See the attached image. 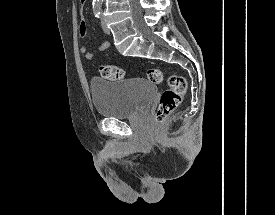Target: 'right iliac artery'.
<instances>
[{
	"mask_svg": "<svg viewBox=\"0 0 275 215\" xmlns=\"http://www.w3.org/2000/svg\"><path fill=\"white\" fill-rule=\"evenodd\" d=\"M93 10H94L95 17L100 18L101 8L100 7H95Z\"/></svg>",
	"mask_w": 275,
	"mask_h": 215,
	"instance_id": "obj_1",
	"label": "right iliac artery"
}]
</instances>
